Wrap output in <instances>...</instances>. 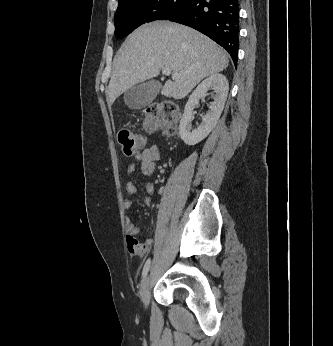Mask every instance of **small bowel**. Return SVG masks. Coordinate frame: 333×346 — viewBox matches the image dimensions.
<instances>
[{"mask_svg": "<svg viewBox=\"0 0 333 346\" xmlns=\"http://www.w3.org/2000/svg\"><path fill=\"white\" fill-rule=\"evenodd\" d=\"M135 162H131L126 167L128 174H133L136 171V163H140L141 172L145 176H150L155 171L157 164L161 160V150L157 145H150L144 148L141 152H138L134 156ZM147 195L144 198V203L149 205L151 203L150 194L153 193L154 187L152 184L146 185ZM127 198L124 201L125 208H131L133 205V197L137 193V188L132 182L126 184ZM127 231V246L131 254H152L153 239L149 238L146 241L144 239H138L140 228L134 223L131 218L126 220Z\"/></svg>", "mask_w": 333, "mask_h": 346, "instance_id": "c3829d8e", "label": "small bowel"}]
</instances>
